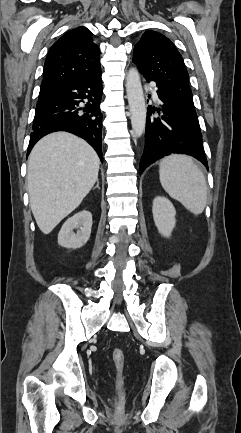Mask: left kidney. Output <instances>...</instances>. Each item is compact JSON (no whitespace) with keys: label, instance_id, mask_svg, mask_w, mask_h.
Returning <instances> with one entry per match:
<instances>
[{"label":"left kidney","instance_id":"5707ae66","mask_svg":"<svg viewBox=\"0 0 241 433\" xmlns=\"http://www.w3.org/2000/svg\"><path fill=\"white\" fill-rule=\"evenodd\" d=\"M152 213L159 233L169 238L176 224L173 204L167 198L158 196L153 200Z\"/></svg>","mask_w":241,"mask_h":433}]
</instances>
